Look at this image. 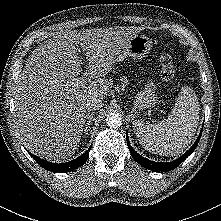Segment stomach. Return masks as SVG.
Instances as JSON below:
<instances>
[{"instance_id": "stomach-1", "label": "stomach", "mask_w": 221, "mask_h": 221, "mask_svg": "<svg viewBox=\"0 0 221 221\" xmlns=\"http://www.w3.org/2000/svg\"><path fill=\"white\" fill-rule=\"evenodd\" d=\"M152 45V40L145 35H135L121 50L117 57V62L122 61L127 56L133 59H141L150 53ZM156 89V83L149 80L144 90L138 91L134 97V111L154 106L157 101Z\"/></svg>"}]
</instances>
